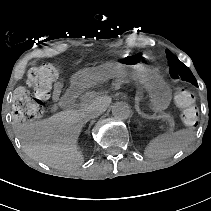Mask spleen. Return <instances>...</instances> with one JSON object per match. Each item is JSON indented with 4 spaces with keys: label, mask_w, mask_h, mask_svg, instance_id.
Returning a JSON list of instances; mask_svg holds the SVG:
<instances>
[{
    "label": "spleen",
    "mask_w": 211,
    "mask_h": 211,
    "mask_svg": "<svg viewBox=\"0 0 211 211\" xmlns=\"http://www.w3.org/2000/svg\"><path fill=\"white\" fill-rule=\"evenodd\" d=\"M192 129H183L171 134L152 136L144 149V155L152 159H164L187 147L194 139Z\"/></svg>",
    "instance_id": "obj_1"
}]
</instances>
